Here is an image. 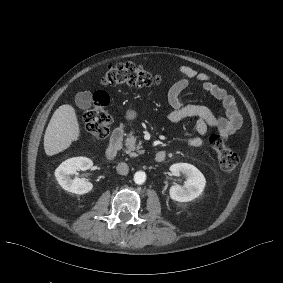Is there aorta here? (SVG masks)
<instances>
[{"label":"aorta","instance_id":"obj_1","mask_svg":"<svg viewBox=\"0 0 283 283\" xmlns=\"http://www.w3.org/2000/svg\"><path fill=\"white\" fill-rule=\"evenodd\" d=\"M146 180V174L143 171H137L134 174V182L138 185H141L145 182Z\"/></svg>","mask_w":283,"mask_h":283}]
</instances>
